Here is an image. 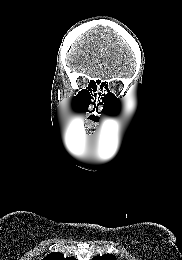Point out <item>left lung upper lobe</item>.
<instances>
[{
	"label": "left lung upper lobe",
	"mask_w": 182,
	"mask_h": 260,
	"mask_svg": "<svg viewBox=\"0 0 182 260\" xmlns=\"http://www.w3.org/2000/svg\"><path fill=\"white\" fill-rule=\"evenodd\" d=\"M92 260H117L115 255L104 254L102 256H95Z\"/></svg>",
	"instance_id": "obj_1"
}]
</instances>
